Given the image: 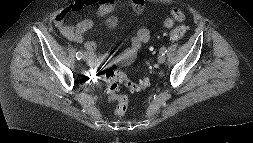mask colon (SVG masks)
Returning a JSON list of instances; mask_svg holds the SVG:
<instances>
[{"mask_svg":"<svg viewBox=\"0 0 253 143\" xmlns=\"http://www.w3.org/2000/svg\"><path fill=\"white\" fill-rule=\"evenodd\" d=\"M187 32L186 27H178L172 29L168 36L171 40L177 41L181 40ZM135 55L123 58L119 60L116 59L115 63L119 65H127L131 63ZM112 63L109 57H103L100 60V64L104 67L105 70L101 72L100 77L106 83L107 86V96L110 102L113 103V112L118 116L125 114L128 108V98L122 92L121 85L127 87L130 91L138 92L148 88L151 84V73L154 72V67L150 66L149 73L146 74L138 82L130 81L124 72L120 70H114L108 66Z\"/></svg>","mask_w":253,"mask_h":143,"instance_id":"1","label":"colon"}]
</instances>
